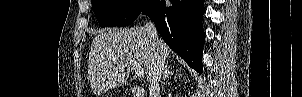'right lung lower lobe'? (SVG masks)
<instances>
[{
    "label": "right lung lower lobe",
    "instance_id": "1",
    "mask_svg": "<svg viewBox=\"0 0 302 97\" xmlns=\"http://www.w3.org/2000/svg\"><path fill=\"white\" fill-rule=\"evenodd\" d=\"M140 14L148 15L169 47L202 73L204 0H149Z\"/></svg>",
    "mask_w": 302,
    "mask_h": 97
}]
</instances>
